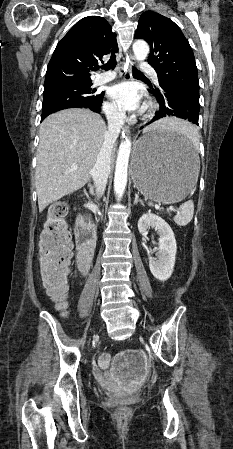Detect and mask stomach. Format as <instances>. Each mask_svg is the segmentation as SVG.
I'll return each mask as SVG.
<instances>
[{
  "mask_svg": "<svg viewBox=\"0 0 233 449\" xmlns=\"http://www.w3.org/2000/svg\"><path fill=\"white\" fill-rule=\"evenodd\" d=\"M199 157L194 145L172 128H149L137 141L131 162L135 187L148 199L171 204L194 188Z\"/></svg>",
  "mask_w": 233,
  "mask_h": 449,
  "instance_id": "obj_1",
  "label": "stomach"
}]
</instances>
